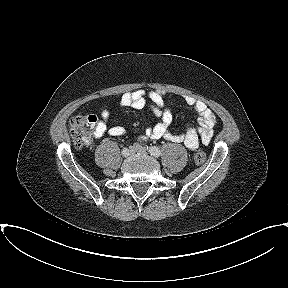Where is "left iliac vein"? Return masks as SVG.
I'll use <instances>...</instances> for the list:
<instances>
[{"label": "left iliac vein", "instance_id": "4c4485c4", "mask_svg": "<svg viewBox=\"0 0 288 288\" xmlns=\"http://www.w3.org/2000/svg\"><path fill=\"white\" fill-rule=\"evenodd\" d=\"M133 149H134L135 152H139V153H147L148 152V150L145 147H143L141 145H138V144L135 145L133 147Z\"/></svg>", "mask_w": 288, "mask_h": 288}]
</instances>
